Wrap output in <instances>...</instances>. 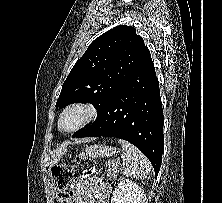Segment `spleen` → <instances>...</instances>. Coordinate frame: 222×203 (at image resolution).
Listing matches in <instances>:
<instances>
[{
	"mask_svg": "<svg viewBox=\"0 0 222 203\" xmlns=\"http://www.w3.org/2000/svg\"><path fill=\"white\" fill-rule=\"evenodd\" d=\"M119 144L122 146L123 168L121 172L126 177L136 179L150 178L151 164L146 156L131 143L120 139Z\"/></svg>",
	"mask_w": 222,
	"mask_h": 203,
	"instance_id": "1",
	"label": "spleen"
}]
</instances>
